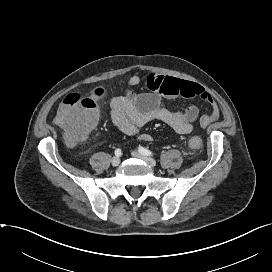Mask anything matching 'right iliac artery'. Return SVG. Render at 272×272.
<instances>
[{
	"label": "right iliac artery",
	"instance_id": "right-iliac-artery-1",
	"mask_svg": "<svg viewBox=\"0 0 272 272\" xmlns=\"http://www.w3.org/2000/svg\"><path fill=\"white\" fill-rule=\"evenodd\" d=\"M115 155L117 157H120L122 155V152H121V150L119 148L115 150Z\"/></svg>",
	"mask_w": 272,
	"mask_h": 272
}]
</instances>
